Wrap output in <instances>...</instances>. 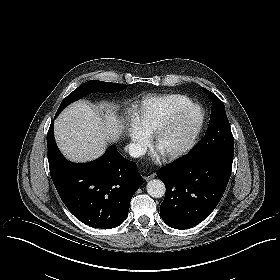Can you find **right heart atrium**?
<instances>
[{
  "label": "right heart atrium",
  "instance_id": "right-heart-atrium-1",
  "mask_svg": "<svg viewBox=\"0 0 280 280\" xmlns=\"http://www.w3.org/2000/svg\"><path fill=\"white\" fill-rule=\"evenodd\" d=\"M132 145L135 149L143 151L146 148L147 142L144 138L140 137L138 134L133 136Z\"/></svg>",
  "mask_w": 280,
  "mask_h": 280
}]
</instances>
